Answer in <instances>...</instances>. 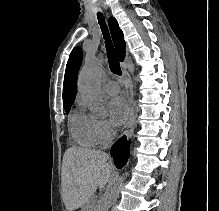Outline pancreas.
<instances>
[{
    "label": "pancreas",
    "instance_id": "cf45deb5",
    "mask_svg": "<svg viewBox=\"0 0 219 211\" xmlns=\"http://www.w3.org/2000/svg\"><path fill=\"white\" fill-rule=\"evenodd\" d=\"M84 207L85 211H99L100 209L98 203H94L93 200H86Z\"/></svg>",
    "mask_w": 219,
    "mask_h": 211
}]
</instances>
